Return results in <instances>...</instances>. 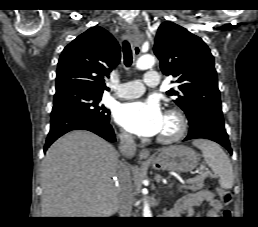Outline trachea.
<instances>
[{
    "mask_svg": "<svg viewBox=\"0 0 258 227\" xmlns=\"http://www.w3.org/2000/svg\"><path fill=\"white\" fill-rule=\"evenodd\" d=\"M124 64L129 67L132 64V51L128 41L123 42Z\"/></svg>",
    "mask_w": 258,
    "mask_h": 227,
    "instance_id": "obj_1",
    "label": "trachea"
}]
</instances>
